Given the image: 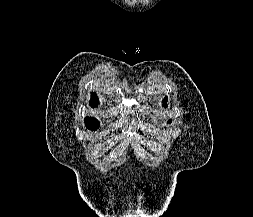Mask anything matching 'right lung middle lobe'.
<instances>
[{
	"label": "right lung middle lobe",
	"mask_w": 253,
	"mask_h": 217,
	"mask_svg": "<svg viewBox=\"0 0 253 217\" xmlns=\"http://www.w3.org/2000/svg\"><path fill=\"white\" fill-rule=\"evenodd\" d=\"M86 127L90 130H96L97 128H99V125H86Z\"/></svg>",
	"instance_id": "right-lung-middle-lobe-1"
}]
</instances>
